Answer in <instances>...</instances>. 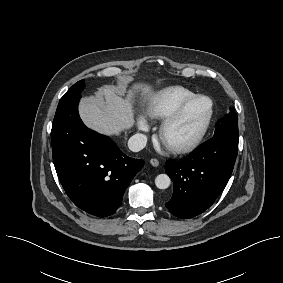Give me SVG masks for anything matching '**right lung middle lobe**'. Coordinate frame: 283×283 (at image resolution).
I'll list each match as a JSON object with an SVG mask.
<instances>
[{"mask_svg": "<svg viewBox=\"0 0 283 283\" xmlns=\"http://www.w3.org/2000/svg\"><path fill=\"white\" fill-rule=\"evenodd\" d=\"M84 80L78 81L76 84H74L68 91L67 93L61 98V101H64L66 99H69L73 96L78 95L84 88Z\"/></svg>", "mask_w": 283, "mask_h": 283, "instance_id": "obj_1", "label": "right lung middle lobe"}]
</instances>
